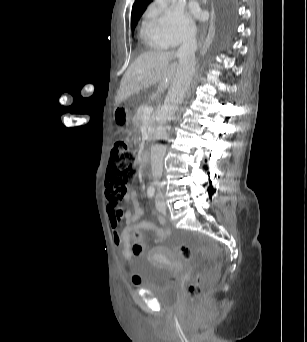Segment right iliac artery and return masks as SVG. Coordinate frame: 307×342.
I'll list each match as a JSON object with an SVG mask.
<instances>
[{"instance_id": "right-iliac-artery-1", "label": "right iliac artery", "mask_w": 307, "mask_h": 342, "mask_svg": "<svg viewBox=\"0 0 307 342\" xmlns=\"http://www.w3.org/2000/svg\"><path fill=\"white\" fill-rule=\"evenodd\" d=\"M154 193H155L154 187H151L147 190L148 197H152L154 195Z\"/></svg>"}]
</instances>
